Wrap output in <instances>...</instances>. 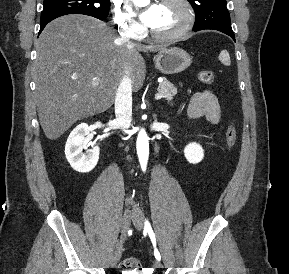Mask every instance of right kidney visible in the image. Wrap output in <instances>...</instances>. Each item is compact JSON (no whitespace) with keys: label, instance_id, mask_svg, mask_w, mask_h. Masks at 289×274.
<instances>
[{"label":"right kidney","instance_id":"1","mask_svg":"<svg viewBox=\"0 0 289 274\" xmlns=\"http://www.w3.org/2000/svg\"><path fill=\"white\" fill-rule=\"evenodd\" d=\"M96 127H101L100 122L95 123ZM92 127L86 123L77 125L70 133L66 145L65 155L71 167L81 173L90 172L97 165L100 149L98 146L92 147L86 153L83 152L84 146L87 144V136Z\"/></svg>","mask_w":289,"mask_h":274}]
</instances>
